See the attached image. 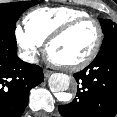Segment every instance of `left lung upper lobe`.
Masks as SVG:
<instances>
[{
    "instance_id": "1",
    "label": "left lung upper lobe",
    "mask_w": 117,
    "mask_h": 117,
    "mask_svg": "<svg viewBox=\"0 0 117 117\" xmlns=\"http://www.w3.org/2000/svg\"><path fill=\"white\" fill-rule=\"evenodd\" d=\"M102 31L105 34L102 45L107 41L112 39L114 36H117V24L113 23L110 19H101L100 20Z\"/></svg>"
}]
</instances>
